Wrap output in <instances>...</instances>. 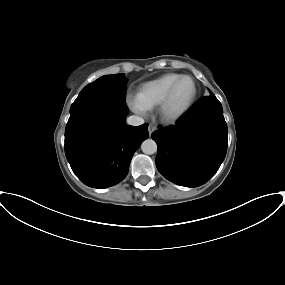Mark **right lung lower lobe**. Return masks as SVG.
<instances>
[{
	"label": "right lung lower lobe",
	"instance_id": "98d812e1",
	"mask_svg": "<svg viewBox=\"0 0 285 285\" xmlns=\"http://www.w3.org/2000/svg\"><path fill=\"white\" fill-rule=\"evenodd\" d=\"M125 100L93 98L70 113L65 130V155L78 178L103 189L127 175L133 154L148 138V124H125Z\"/></svg>",
	"mask_w": 285,
	"mask_h": 285
}]
</instances>
